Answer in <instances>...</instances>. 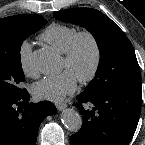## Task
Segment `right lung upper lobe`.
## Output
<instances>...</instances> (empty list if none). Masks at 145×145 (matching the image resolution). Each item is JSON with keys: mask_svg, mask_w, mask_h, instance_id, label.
<instances>
[{"mask_svg": "<svg viewBox=\"0 0 145 145\" xmlns=\"http://www.w3.org/2000/svg\"><path fill=\"white\" fill-rule=\"evenodd\" d=\"M18 16V15H16ZM16 16H10V17H6V18H2L0 19V31L3 30V28L14 18H16Z\"/></svg>", "mask_w": 145, "mask_h": 145, "instance_id": "cb5924a9", "label": "right lung upper lobe"}]
</instances>
